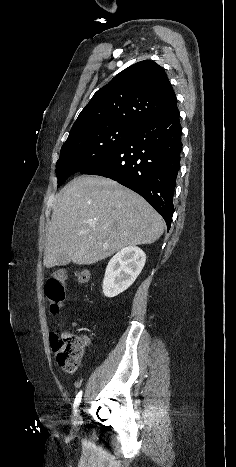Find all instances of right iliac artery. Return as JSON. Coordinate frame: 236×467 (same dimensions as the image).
<instances>
[{
	"label": "right iliac artery",
	"mask_w": 236,
	"mask_h": 467,
	"mask_svg": "<svg viewBox=\"0 0 236 467\" xmlns=\"http://www.w3.org/2000/svg\"><path fill=\"white\" fill-rule=\"evenodd\" d=\"M81 397H82V391H80V392L77 394L76 398H75V401H74V404H73V411H74V414L77 413L78 406H79V404H80V402H81Z\"/></svg>",
	"instance_id": "82829eb1"
}]
</instances>
